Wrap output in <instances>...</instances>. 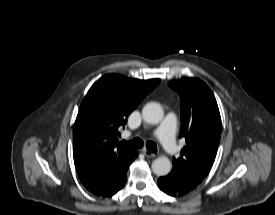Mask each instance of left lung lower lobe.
<instances>
[{"label": "left lung lower lobe", "instance_id": "1", "mask_svg": "<svg viewBox=\"0 0 275 215\" xmlns=\"http://www.w3.org/2000/svg\"><path fill=\"white\" fill-rule=\"evenodd\" d=\"M203 179L173 165L171 172L157 181L158 187L171 196H181L193 190Z\"/></svg>", "mask_w": 275, "mask_h": 215}]
</instances>
